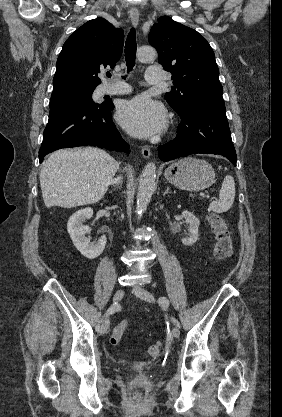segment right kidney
I'll return each mask as SVG.
<instances>
[{
    "label": "right kidney",
    "instance_id": "right-kidney-1",
    "mask_svg": "<svg viewBox=\"0 0 282 417\" xmlns=\"http://www.w3.org/2000/svg\"><path fill=\"white\" fill-rule=\"evenodd\" d=\"M92 215V209H90V206H86V209L76 211L67 223V231L73 245H75L77 251H80L81 255L86 257V259H96V257H99V255L103 253L107 243L105 235L99 239L96 245H94V243H90V239L85 237L86 233L89 231V227H87V225H83V221L90 219Z\"/></svg>",
    "mask_w": 282,
    "mask_h": 417
}]
</instances>
